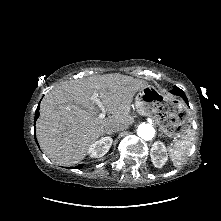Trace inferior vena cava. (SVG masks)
<instances>
[{"mask_svg":"<svg viewBox=\"0 0 221 221\" xmlns=\"http://www.w3.org/2000/svg\"><path fill=\"white\" fill-rule=\"evenodd\" d=\"M126 128H127V126H125V125L110 124L105 128V131L112 133V132H118V131L124 130Z\"/></svg>","mask_w":221,"mask_h":221,"instance_id":"obj_1","label":"inferior vena cava"}]
</instances>
